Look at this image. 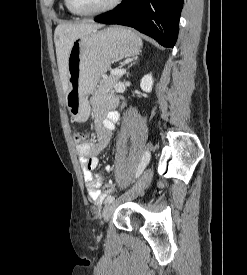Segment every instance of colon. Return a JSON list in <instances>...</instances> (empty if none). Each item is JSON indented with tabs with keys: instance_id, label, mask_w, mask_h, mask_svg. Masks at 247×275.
<instances>
[{
	"instance_id": "5ec220e1",
	"label": "colon",
	"mask_w": 247,
	"mask_h": 275,
	"mask_svg": "<svg viewBox=\"0 0 247 275\" xmlns=\"http://www.w3.org/2000/svg\"><path fill=\"white\" fill-rule=\"evenodd\" d=\"M73 140L77 145H81V144L84 143L85 134L80 132V131H74ZM114 190H115V185L113 183H108L104 187V191L107 194H110V193L114 192Z\"/></svg>"
}]
</instances>
